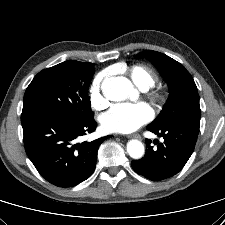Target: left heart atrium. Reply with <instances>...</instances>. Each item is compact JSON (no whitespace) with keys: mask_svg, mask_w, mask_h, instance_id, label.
I'll return each instance as SVG.
<instances>
[{"mask_svg":"<svg viewBox=\"0 0 225 225\" xmlns=\"http://www.w3.org/2000/svg\"><path fill=\"white\" fill-rule=\"evenodd\" d=\"M153 111L146 103H120L102 115L101 124L108 132L130 133L147 123Z\"/></svg>","mask_w":225,"mask_h":225,"instance_id":"obj_1","label":"left heart atrium"}]
</instances>
